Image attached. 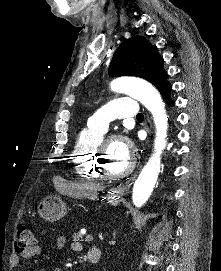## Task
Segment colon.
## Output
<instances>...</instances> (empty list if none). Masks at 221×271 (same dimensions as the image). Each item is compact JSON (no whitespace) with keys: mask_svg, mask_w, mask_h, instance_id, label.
<instances>
[{"mask_svg":"<svg viewBox=\"0 0 221 271\" xmlns=\"http://www.w3.org/2000/svg\"><path fill=\"white\" fill-rule=\"evenodd\" d=\"M36 239L27 223H20L16 235L15 250L22 252L35 245Z\"/></svg>","mask_w":221,"mask_h":271,"instance_id":"obj_1","label":"colon"}]
</instances>
